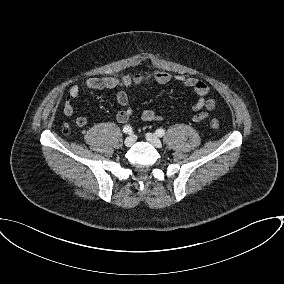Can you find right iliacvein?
Returning <instances> with one entry per match:
<instances>
[{"mask_svg":"<svg viewBox=\"0 0 284 284\" xmlns=\"http://www.w3.org/2000/svg\"><path fill=\"white\" fill-rule=\"evenodd\" d=\"M135 141H136L135 135H129L124 140V144H125L126 147H131L135 143Z\"/></svg>","mask_w":284,"mask_h":284,"instance_id":"1","label":"right iliac vein"}]
</instances>
